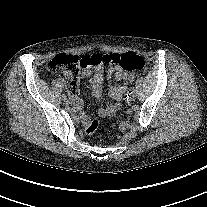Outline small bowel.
<instances>
[{
    "mask_svg": "<svg viewBox=\"0 0 207 207\" xmlns=\"http://www.w3.org/2000/svg\"><path fill=\"white\" fill-rule=\"evenodd\" d=\"M103 66H96L94 68H86L81 72V76L84 78L90 77V85L92 89V94L95 98L102 97V85H103ZM107 76L110 81L117 80L123 81L124 84H114L111 83L109 96L112 98L113 102L101 107L97 114L99 117H109L114 115L121 105L123 95L126 91V84L134 80V75L122 70L119 66H111L107 70ZM71 103L76 110L82 108V101L77 95V88L71 94ZM80 120L84 126H87L94 120L91 116L81 113Z\"/></svg>",
    "mask_w": 207,
    "mask_h": 207,
    "instance_id": "1",
    "label": "small bowel"
}]
</instances>
